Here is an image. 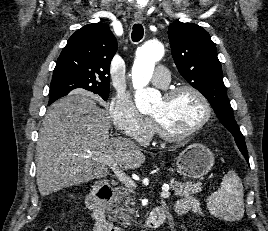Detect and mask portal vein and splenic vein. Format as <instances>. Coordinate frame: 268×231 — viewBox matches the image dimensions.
<instances>
[{
	"mask_svg": "<svg viewBox=\"0 0 268 231\" xmlns=\"http://www.w3.org/2000/svg\"><path fill=\"white\" fill-rule=\"evenodd\" d=\"M95 160L109 166L123 184H125L128 187L136 188L135 182L118 167L117 163L113 160V158L110 155L101 154V156L96 157ZM170 195L171 193L168 187H164L160 194V196L164 199L169 198Z\"/></svg>",
	"mask_w": 268,
	"mask_h": 231,
	"instance_id": "obj_1",
	"label": "portal vein and splenic vein"
}]
</instances>
